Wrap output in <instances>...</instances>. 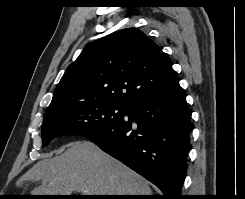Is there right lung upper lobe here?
<instances>
[{"label":"right lung upper lobe","mask_w":245,"mask_h":199,"mask_svg":"<svg viewBox=\"0 0 245 199\" xmlns=\"http://www.w3.org/2000/svg\"><path fill=\"white\" fill-rule=\"evenodd\" d=\"M177 84L160 47L139 29H123L84 48L61 78L45 116L87 103L128 107Z\"/></svg>","instance_id":"1"}]
</instances>
